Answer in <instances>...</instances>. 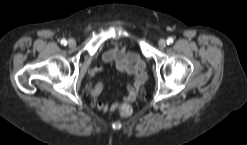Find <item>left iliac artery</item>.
Masks as SVG:
<instances>
[{
    "mask_svg": "<svg viewBox=\"0 0 247 145\" xmlns=\"http://www.w3.org/2000/svg\"><path fill=\"white\" fill-rule=\"evenodd\" d=\"M174 42V40H173V38L172 37H169L168 39H167V44L169 45V44H172Z\"/></svg>",
    "mask_w": 247,
    "mask_h": 145,
    "instance_id": "obj_1",
    "label": "left iliac artery"
}]
</instances>
